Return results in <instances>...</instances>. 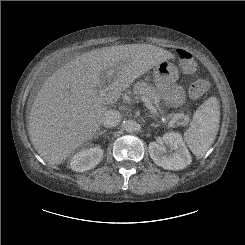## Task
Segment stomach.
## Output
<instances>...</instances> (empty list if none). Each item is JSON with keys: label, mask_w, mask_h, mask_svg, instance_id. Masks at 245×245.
<instances>
[{"label": "stomach", "mask_w": 245, "mask_h": 245, "mask_svg": "<svg viewBox=\"0 0 245 245\" xmlns=\"http://www.w3.org/2000/svg\"><path fill=\"white\" fill-rule=\"evenodd\" d=\"M154 82L160 97L169 107H181L186 102V93L177 83L179 72L177 67L165 60L153 70Z\"/></svg>", "instance_id": "stomach-1"}]
</instances>
